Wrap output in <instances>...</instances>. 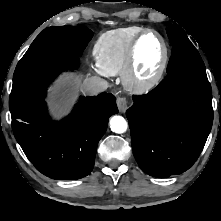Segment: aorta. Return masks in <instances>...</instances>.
<instances>
[{
  "mask_svg": "<svg viewBox=\"0 0 221 221\" xmlns=\"http://www.w3.org/2000/svg\"><path fill=\"white\" fill-rule=\"evenodd\" d=\"M110 128L115 133H124L127 130V122L122 116L115 115L110 119Z\"/></svg>",
  "mask_w": 221,
  "mask_h": 221,
  "instance_id": "762f6f07",
  "label": "aorta"
}]
</instances>
